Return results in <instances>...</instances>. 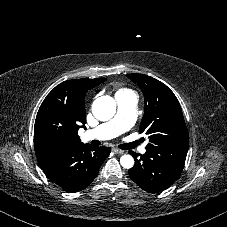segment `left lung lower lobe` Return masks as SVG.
Wrapping results in <instances>:
<instances>
[{"label":"left lung lower lobe","mask_w":227,"mask_h":227,"mask_svg":"<svg viewBox=\"0 0 227 227\" xmlns=\"http://www.w3.org/2000/svg\"><path fill=\"white\" fill-rule=\"evenodd\" d=\"M188 151V145L146 146V153H129L135 165L129 170L131 179L143 190L159 193L170 187L180 176Z\"/></svg>","instance_id":"1"}]
</instances>
